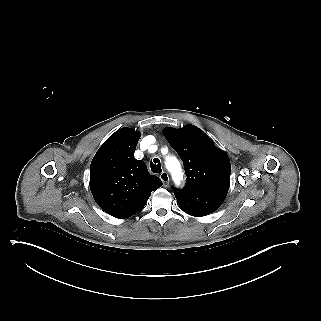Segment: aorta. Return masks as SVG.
I'll return each instance as SVG.
<instances>
[{"label":"aorta","mask_w":321,"mask_h":321,"mask_svg":"<svg viewBox=\"0 0 321 321\" xmlns=\"http://www.w3.org/2000/svg\"><path fill=\"white\" fill-rule=\"evenodd\" d=\"M166 166L172 172L174 181L178 183L181 178V168L179 161L176 158L171 157L166 161Z\"/></svg>","instance_id":"aorta-1"}]
</instances>
